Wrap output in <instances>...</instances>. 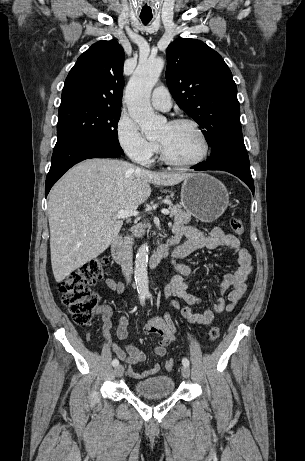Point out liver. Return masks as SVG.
<instances>
[{"label":"liver","instance_id":"obj_1","mask_svg":"<svg viewBox=\"0 0 305 461\" xmlns=\"http://www.w3.org/2000/svg\"><path fill=\"white\" fill-rule=\"evenodd\" d=\"M186 173L153 172L128 162L88 159L71 168L48 197L51 264L56 282L104 252L117 237L119 210H136L150 183L173 186Z\"/></svg>","mask_w":305,"mask_h":461}]
</instances>
